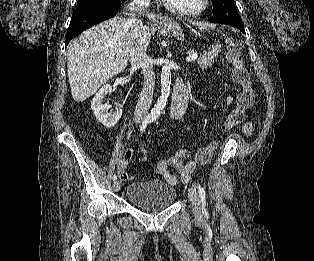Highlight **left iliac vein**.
Wrapping results in <instances>:
<instances>
[{
	"label": "left iliac vein",
	"mask_w": 314,
	"mask_h": 261,
	"mask_svg": "<svg viewBox=\"0 0 314 261\" xmlns=\"http://www.w3.org/2000/svg\"><path fill=\"white\" fill-rule=\"evenodd\" d=\"M188 197L192 203V209H193V212H194L196 218L200 219L202 217L201 202H200L199 196H198V194L194 188L190 187L188 189Z\"/></svg>",
	"instance_id": "left-iliac-vein-1"
}]
</instances>
